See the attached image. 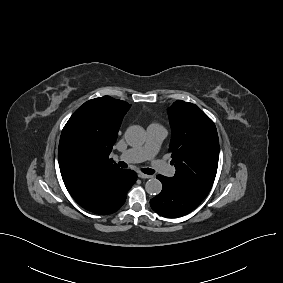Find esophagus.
<instances>
[{
  "label": "esophagus",
  "mask_w": 283,
  "mask_h": 283,
  "mask_svg": "<svg viewBox=\"0 0 283 283\" xmlns=\"http://www.w3.org/2000/svg\"><path fill=\"white\" fill-rule=\"evenodd\" d=\"M138 177L142 178V179H148V178H152V175H147V174L140 172V173H138Z\"/></svg>",
  "instance_id": "1"
}]
</instances>
